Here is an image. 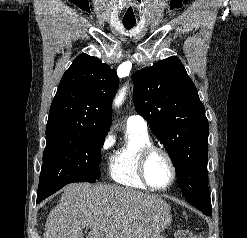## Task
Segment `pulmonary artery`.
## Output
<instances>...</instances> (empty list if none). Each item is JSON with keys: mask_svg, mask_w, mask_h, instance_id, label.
Segmentation results:
<instances>
[{"mask_svg": "<svg viewBox=\"0 0 247 238\" xmlns=\"http://www.w3.org/2000/svg\"><path fill=\"white\" fill-rule=\"evenodd\" d=\"M126 125L129 127H135L137 129L147 131L146 120L138 114L130 115L126 120Z\"/></svg>", "mask_w": 247, "mask_h": 238, "instance_id": "obj_1", "label": "pulmonary artery"}]
</instances>
